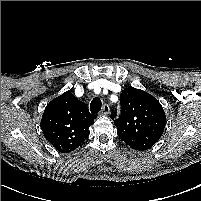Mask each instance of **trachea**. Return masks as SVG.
I'll use <instances>...</instances> for the list:
<instances>
[{
	"label": "trachea",
	"mask_w": 201,
	"mask_h": 201,
	"mask_svg": "<svg viewBox=\"0 0 201 201\" xmlns=\"http://www.w3.org/2000/svg\"><path fill=\"white\" fill-rule=\"evenodd\" d=\"M102 101L100 98L95 97L90 103V111L91 113H97L101 110Z\"/></svg>",
	"instance_id": "trachea-1"
}]
</instances>
